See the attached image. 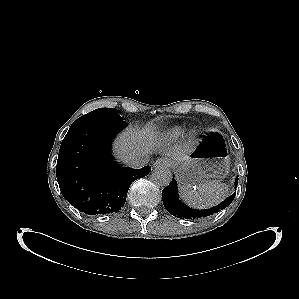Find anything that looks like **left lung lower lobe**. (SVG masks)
<instances>
[{"label":"left lung lower lobe","instance_id":"0a47b994","mask_svg":"<svg viewBox=\"0 0 299 299\" xmlns=\"http://www.w3.org/2000/svg\"><path fill=\"white\" fill-rule=\"evenodd\" d=\"M238 178L235 180V187H237ZM236 193L229 196L225 201L219 205L206 209V210H195L186 206L178 197L177 193V183L173 179L170 184L165 187L162 191V200L166 210L171 213L173 216L180 219H196L200 217H207L220 210L226 208L234 199Z\"/></svg>","mask_w":299,"mask_h":299}]
</instances>
